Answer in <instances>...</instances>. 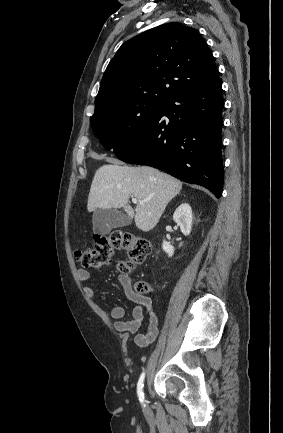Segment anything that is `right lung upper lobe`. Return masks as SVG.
<instances>
[{
    "mask_svg": "<svg viewBox=\"0 0 283 433\" xmlns=\"http://www.w3.org/2000/svg\"><path fill=\"white\" fill-rule=\"evenodd\" d=\"M218 76L213 55L194 28L163 24L120 47L101 80L94 114L134 102L165 103Z\"/></svg>",
    "mask_w": 283,
    "mask_h": 433,
    "instance_id": "1",
    "label": "right lung upper lobe"
}]
</instances>
